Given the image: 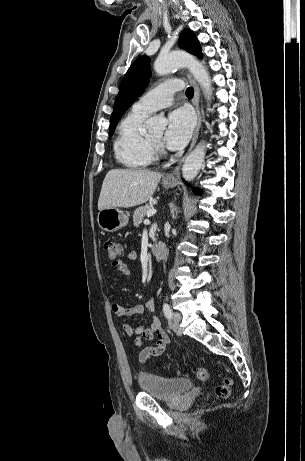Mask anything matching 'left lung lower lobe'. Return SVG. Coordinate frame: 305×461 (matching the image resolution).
<instances>
[{"mask_svg":"<svg viewBox=\"0 0 305 461\" xmlns=\"http://www.w3.org/2000/svg\"><path fill=\"white\" fill-rule=\"evenodd\" d=\"M184 182H185V181H184ZM185 183H186V182H185ZM194 192H195L196 194H199V193H200L198 189H195Z\"/></svg>","mask_w":305,"mask_h":461,"instance_id":"obj_1","label":"left lung lower lobe"}]
</instances>
